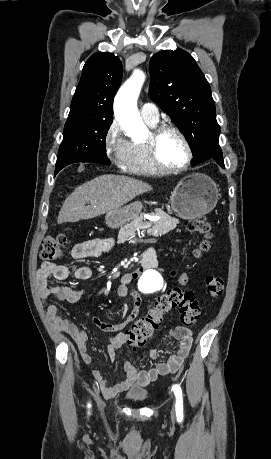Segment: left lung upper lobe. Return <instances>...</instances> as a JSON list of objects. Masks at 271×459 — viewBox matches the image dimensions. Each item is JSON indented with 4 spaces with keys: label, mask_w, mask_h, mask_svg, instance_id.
<instances>
[{
    "label": "left lung upper lobe",
    "mask_w": 271,
    "mask_h": 459,
    "mask_svg": "<svg viewBox=\"0 0 271 459\" xmlns=\"http://www.w3.org/2000/svg\"><path fill=\"white\" fill-rule=\"evenodd\" d=\"M149 69V96L187 138L192 165L221 157L215 102L193 57L182 49L162 50L151 58Z\"/></svg>",
    "instance_id": "1"
}]
</instances>
